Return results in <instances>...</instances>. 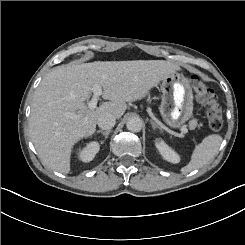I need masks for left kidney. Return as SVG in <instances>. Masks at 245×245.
Segmentation results:
<instances>
[{
	"label": "left kidney",
	"instance_id": "left-kidney-1",
	"mask_svg": "<svg viewBox=\"0 0 245 245\" xmlns=\"http://www.w3.org/2000/svg\"><path fill=\"white\" fill-rule=\"evenodd\" d=\"M155 147L157 148L159 154L162 156V158L170 163L178 164L182 161L181 155L174 150L172 147H170L164 139L162 138H156L154 140Z\"/></svg>",
	"mask_w": 245,
	"mask_h": 245
}]
</instances>
